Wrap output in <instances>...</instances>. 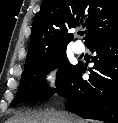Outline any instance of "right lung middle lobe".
Returning a JSON list of instances; mask_svg holds the SVG:
<instances>
[{
	"instance_id": "dd1d6c3e",
	"label": "right lung middle lobe",
	"mask_w": 118,
	"mask_h": 123,
	"mask_svg": "<svg viewBox=\"0 0 118 123\" xmlns=\"http://www.w3.org/2000/svg\"><path fill=\"white\" fill-rule=\"evenodd\" d=\"M77 65H71L66 56V49L38 58L25 66L19 88L11 105L23 102H36L51 97L57 89L70 79ZM59 67L57 73V89L48 88L45 77L50 69Z\"/></svg>"
}]
</instances>
